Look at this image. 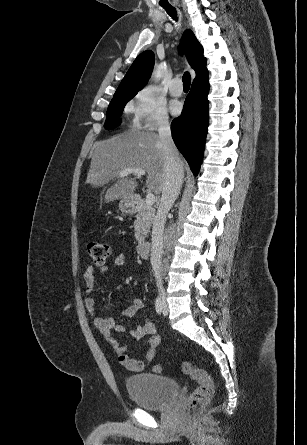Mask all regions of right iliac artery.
<instances>
[{"instance_id":"right-iliac-artery-1","label":"right iliac artery","mask_w":307,"mask_h":445,"mask_svg":"<svg viewBox=\"0 0 307 445\" xmlns=\"http://www.w3.org/2000/svg\"><path fill=\"white\" fill-rule=\"evenodd\" d=\"M155 309H156V311H157L158 314H161L162 309H163V302H162V300H161L160 297H157V298H156V301H155Z\"/></svg>"}]
</instances>
